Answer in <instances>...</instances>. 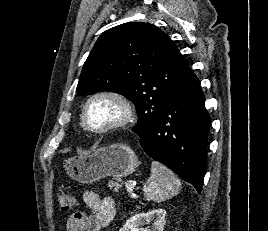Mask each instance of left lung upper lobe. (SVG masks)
Instances as JSON below:
<instances>
[{
	"label": "left lung upper lobe",
	"instance_id": "obj_1",
	"mask_svg": "<svg viewBox=\"0 0 268 231\" xmlns=\"http://www.w3.org/2000/svg\"><path fill=\"white\" fill-rule=\"evenodd\" d=\"M175 43L158 27L129 22L104 32L84 63L76 92L112 91L137 110V134L149 131L173 93L191 75Z\"/></svg>",
	"mask_w": 268,
	"mask_h": 231
}]
</instances>
